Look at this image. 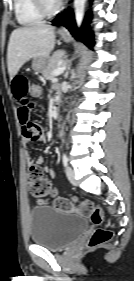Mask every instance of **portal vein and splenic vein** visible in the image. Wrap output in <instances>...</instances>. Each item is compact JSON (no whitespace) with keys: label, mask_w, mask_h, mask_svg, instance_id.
<instances>
[{"label":"portal vein and splenic vein","mask_w":134,"mask_h":281,"mask_svg":"<svg viewBox=\"0 0 134 281\" xmlns=\"http://www.w3.org/2000/svg\"><path fill=\"white\" fill-rule=\"evenodd\" d=\"M66 67H67L66 65L58 67L57 69L53 70L52 75L53 76L61 75L65 71Z\"/></svg>","instance_id":"1"}]
</instances>
